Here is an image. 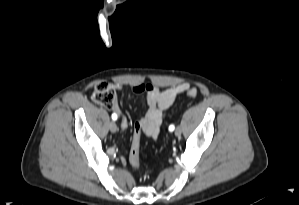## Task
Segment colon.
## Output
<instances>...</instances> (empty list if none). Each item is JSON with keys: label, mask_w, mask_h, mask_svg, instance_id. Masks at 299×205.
Masks as SVG:
<instances>
[{"label": "colon", "mask_w": 299, "mask_h": 205, "mask_svg": "<svg viewBox=\"0 0 299 205\" xmlns=\"http://www.w3.org/2000/svg\"><path fill=\"white\" fill-rule=\"evenodd\" d=\"M186 93L189 97L195 98L197 90L195 88H188ZM92 99L106 108H115L118 104V95L115 87L106 81H99L93 86ZM140 129L141 119L135 124V133L130 149L129 161L132 167L140 168L139 149H140Z\"/></svg>", "instance_id": "1"}]
</instances>
